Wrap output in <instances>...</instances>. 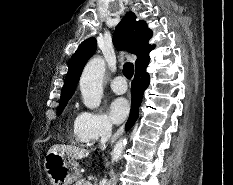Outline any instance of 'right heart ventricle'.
<instances>
[{
	"instance_id": "obj_1",
	"label": "right heart ventricle",
	"mask_w": 233,
	"mask_h": 185,
	"mask_svg": "<svg viewBox=\"0 0 233 185\" xmlns=\"http://www.w3.org/2000/svg\"><path fill=\"white\" fill-rule=\"evenodd\" d=\"M76 121H77V119H75L74 124H73L74 125V131H75V128H76Z\"/></svg>"
}]
</instances>
